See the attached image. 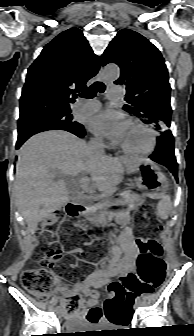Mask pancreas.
<instances>
[{
    "label": "pancreas",
    "mask_w": 194,
    "mask_h": 336,
    "mask_svg": "<svg viewBox=\"0 0 194 336\" xmlns=\"http://www.w3.org/2000/svg\"><path fill=\"white\" fill-rule=\"evenodd\" d=\"M128 209V206L126 204H122L121 201L112 200L110 203L106 202L103 204H100L96 211L100 213V216L98 218L99 222H107L112 218L113 215L117 213V211H126Z\"/></svg>",
    "instance_id": "obj_1"
}]
</instances>
